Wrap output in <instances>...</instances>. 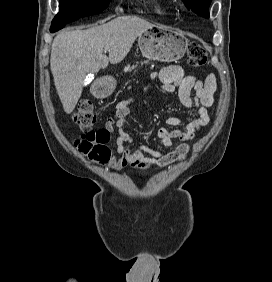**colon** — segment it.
I'll list each match as a JSON object with an SVG mask.
<instances>
[{"mask_svg": "<svg viewBox=\"0 0 272 282\" xmlns=\"http://www.w3.org/2000/svg\"><path fill=\"white\" fill-rule=\"evenodd\" d=\"M187 59L192 66L201 67L207 62V53L200 44L192 42L188 45ZM73 120L84 131L75 140V147L96 164L107 163L111 156L108 146L110 130L108 128L91 129L97 120V111L93 103L89 100H81L73 114Z\"/></svg>", "mask_w": 272, "mask_h": 282, "instance_id": "5ec220e1", "label": "colon"}]
</instances>
